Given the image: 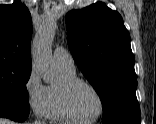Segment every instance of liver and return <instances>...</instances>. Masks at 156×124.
Returning a JSON list of instances; mask_svg holds the SVG:
<instances>
[{
  "label": "liver",
  "mask_w": 156,
  "mask_h": 124,
  "mask_svg": "<svg viewBox=\"0 0 156 124\" xmlns=\"http://www.w3.org/2000/svg\"><path fill=\"white\" fill-rule=\"evenodd\" d=\"M0 124H13V122L0 118Z\"/></svg>",
  "instance_id": "liver-1"
}]
</instances>
